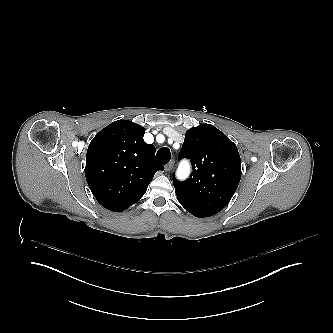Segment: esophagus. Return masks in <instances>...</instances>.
<instances>
[{"label": "esophagus", "mask_w": 333, "mask_h": 333, "mask_svg": "<svg viewBox=\"0 0 333 333\" xmlns=\"http://www.w3.org/2000/svg\"><path fill=\"white\" fill-rule=\"evenodd\" d=\"M173 164H174V162H173V161H170V162L166 165L165 170H166V171H170V170L172 169V167H173Z\"/></svg>", "instance_id": "esophagus-1"}]
</instances>
